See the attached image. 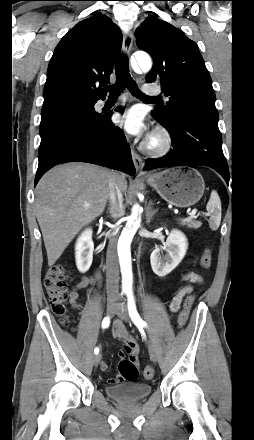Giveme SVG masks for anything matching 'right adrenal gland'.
I'll return each instance as SVG.
<instances>
[{
  "label": "right adrenal gland",
  "instance_id": "obj_1",
  "mask_svg": "<svg viewBox=\"0 0 254 440\" xmlns=\"http://www.w3.org/2000/svg\"><path fill=\"white\" fill-rule=\"evenodd\" d=\"M107 213H110V210H109V208H108V210L106 211Z\"/></svg>",
  "mask_w": 254,
  "mask_h": 440
}]
</instances>
